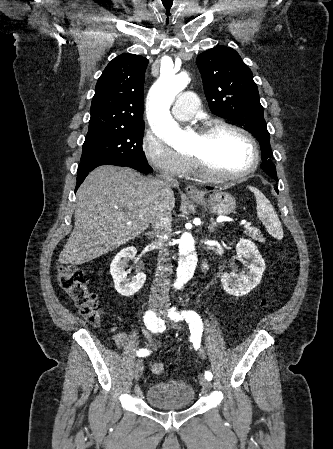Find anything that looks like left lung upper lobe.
I'll use <instances>...</instances> for the list:
<instances>
[{"label": "left lung upper lobe", "instance_id": "1", "mask_svg": "<svg viewBox=\"0 0 333 449\" xmlns=\"http://www.w3.org/2000/svg\"><path fill=\"white\" fill-rule=\"evenodd\" d=\"M196 61L211 111L242 125L257 138L262 151L261 168L276 180L269 132L249 67L234 49L226 46L209 49L199 54Z\"/></svg>", "mask_w": 333, "mask_h": 449}]
</instances>
